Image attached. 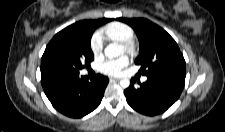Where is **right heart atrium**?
<instances>
[{
    "instance_id": "obj_1",
    "label": "right heart atrium",
    "mask_w": 225,
    "mask_h": 132,
    "mask_svg": "<svg viewBox=\"0 0 225 132\" xmlns=\"http://www.w3.org/2000/svg\"><path fill=\"white\" fill-rule=\"evenodd\" d=\"M90 49L95 57H98L102 54L103 42L100 34L95 33L92 35L90 40Z\"/></svg>"
}]
</instances>
